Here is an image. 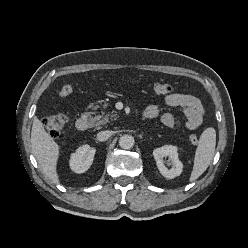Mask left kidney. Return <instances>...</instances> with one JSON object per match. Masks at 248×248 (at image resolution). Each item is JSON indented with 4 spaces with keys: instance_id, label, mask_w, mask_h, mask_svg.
<instances>
[{
    "instance_id": "left-kidney-1",
    "label": "left kidney",
    "mask_w": 248,
    "mask_h": 248,
    "mask_svg": "<svg viewBox=\"0 0 248 248\" xmlns=\"http://www.w3.org/2000/svg\"><path fill=\"white\" fill-rule=\"evenodd\" d=\"M153 156L156 161L157 168L160 173L167 179H173L179 176L183 169V164L179 160L177 147L172 145H164L160 148L153 150ZM169 158V164L171 168H167L164 162V158Z\"/></svg>"
}]
</instances>
